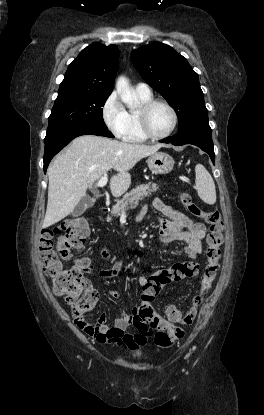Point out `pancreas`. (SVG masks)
<instances>
[{
	"mask_svg": "<svg viewBox=\"0 0 264 415\" xmlns=\"http://www.w3.org/2000/svg\"><path fill=\"white\" fill-rule=\"evenodd\" d=\"M157 190L158 186L156 183H148L137 186L130 192L126 193L122 199L117 201V203L112 207L111 215L116 217L120 216V214L125 212L129 206L137 205L139 200L150 196Z\"/></svg>",
	"mask_w": 264,
	"mask_h": 415,
	"instance_id": "pancreas-1",
	"label": "pancreas"
}]
</instances>
